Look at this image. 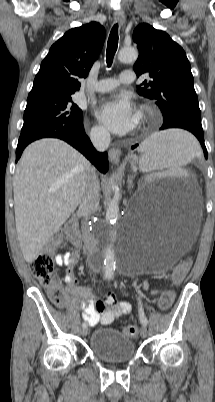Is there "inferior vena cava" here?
Masks as SVG:
<instances>
[{"label":"inferior vena cava","instance_id":"602c4592","mask_svg":"<svg viewBox=\"0 0 215 402\" xmlns=\"http://www.w3.org/2000/svg\"><path fill=\"white\" fill-rule=\"evenodd\" d=\"M91 141L98 151H105L108 149L111 141L110 133L105 129H99L91 134ZM99 198L100 184L95 169L92 168L88 172L79 207V212L83 215L82 232L89 263L97 251V242L94 235L98 233V229L91 232L88 220L96 213L99 206Z\"/></svg>","mask_w":215,"mask_h":402}]
</instances>
